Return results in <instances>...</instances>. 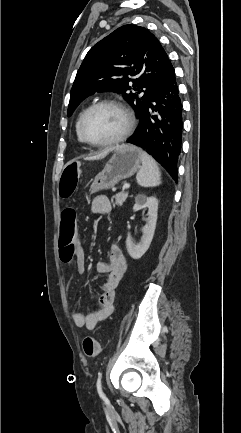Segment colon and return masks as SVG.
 I'll use <instances>...</instances> for the list:
<instances>
[{
	"label": "colon",
	"mask_w": 241,
	"mask_h": 433,
	"mask_svg": "<svg viewBox=\"0 0 241 433\" xmlns=\"http://www.w3.org/2000/svg\"><path fill=\"white\" fill-rule=\"evenodd\" d=\"M60 180L57 184V192L61 201H70L72 195L79 185V178L85 176V169L82 168V162L76 158L65 161L61 168ZM79 215L77 207H62L61 215L57 223L61 228V237L59 240V255L63 263L69 264L72 261L75 251L82 249L77 240L78 231L77 223ZM83 350L88 357L97 356L101 351L100 341L93 336H87L83 341Z\"/></svg>",
	"instance_id": "5ec220e1"
}]
</instances>
